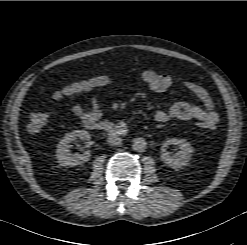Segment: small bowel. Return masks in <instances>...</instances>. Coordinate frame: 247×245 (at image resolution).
I'll use <instances>...</instances> for the list:
<instances>
[{
    "label": "small bowel",
    "mask_w": 247,
    "mask_h": 245,
    "mask_svg": "<svg viewBox=\"0 0 247 245\" xmlns=\"http://www.w3.org/2000/svg\"><path fill=\"white\" fill-rule=\"evenodd\" d=\"M141 81L151 93H161L169 89L173 83V77L168 73H160L153 69H146L140 73ZM180 83L192 93L202 106L188 102H174L167 110H158L154 114V119L158 122H166L170 119L180 121H203L216 125L219 122V115L215 110V104L208 91L199 84L181 80ZM113 82L111 83L112 86ZM113 91L105 94V98H111ZM73 114L84 124L97 121L101 115V99L94 96L90 99L89 105L76 104L72 107Z\"/></svg>",
    "instance_id": "c3829d8e"
}]
</instances>
